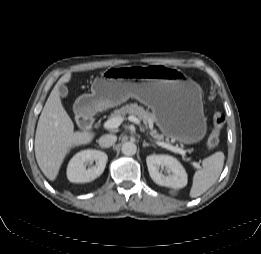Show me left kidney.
Segmentation results:
<instances>
[{
	"label": "left kidney",
	"mask_w": 261,
	"mask_h": 254,
	"mask_svg": "<svg viewBox=\"0 0 261 254\" xmlns=\"http://www.w3.org/2000/svg\"><path fill=\"white\" fill-rule=\"evenodd\" d=\"M148 171L152 180L160 185L174 189L187 185L188 176L181 163L169 155H149L146 158ZM167 171V175L162 170Z\"/></svg>",
	"instance_id": "1"
}]
</instances>
